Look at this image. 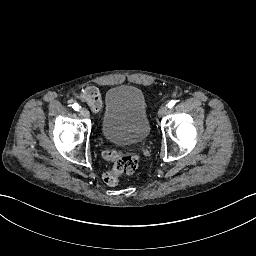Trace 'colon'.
Instances as JSON below:
<instances>
[{
	"label": "colon",
	"mask_w": 256,
	"mask_h": 256,
	"mask_svg": "<svg viewBox=\"0 0 256 256\" xmlns=\"http://www.w3.org/2000/svg\"><path fill=\"white\" fill-rule=\"evenodd\" d=\"M102 154L110 158H115L117 153L103 151ZM138 161L139 157L135 151L125 152L120 159L117 160L115 166L102 176V180L109 186H117L121 176L131 174L137 168Z\"/></svg>",
	"instance_id": "1"
}]
</instances>
